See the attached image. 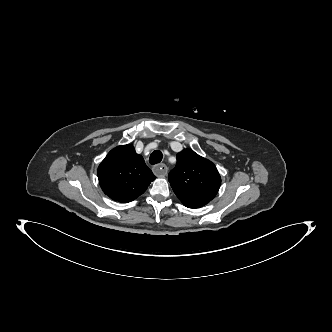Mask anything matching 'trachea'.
Returning <instances> with one entry per match:
<instances>
[{
    "instance_id": "trachea-1",
    "label": "trachea",
    "mask_w": 332,
    "mask_h": 332,
    "mask_svg": "<svg viewBox=\"0 0 332 332\" xmlns=\"http://www.w3.org/2000/svg\"><path fill=\"white\" fill-rule=\"evenodd\" d=\"M163 158L162 152L160 150H155L151 153L149 162L150 164L154 165L160 163Z\"/></svg>"
}]
</instances>
